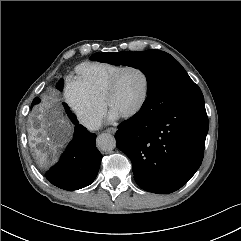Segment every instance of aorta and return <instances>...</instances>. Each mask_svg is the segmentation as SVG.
<instances>
[{"instance_id": "1", "label": "aorta", "mask_w": 241, "mask_h": 241, "mask_svg": "<svg viewBox=\"0 0 241 241\" xmlns=\"http://www.w3.org/2000/svg\"><path fill=\"white\" fill-rule=\"evenodd\" d=\"M97 146L103 151H111L116 147L114 136L108 133H102L97 138Z\"/></svg>"}]
</instances>
